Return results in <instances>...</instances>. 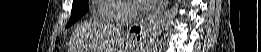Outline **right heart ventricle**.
Masks as SVG:
<instances>
[{"label": "right heart ventricle", "instance_id": "e07e8e85", "mask_svg": "<svg viewBox=\"0 0 261 52\" xmlns=\"http://www.w3.org/2000/svg\"><path fill=\"white\" fill-rule=\"evenodd\" d=\"M117 9H119L118 5L106 1H101L95 11V19L97 21L112 23L113 19L111 17V14Z\"/></svg>", "mask_w": 261, "mask_h": 52}]
</instances>
